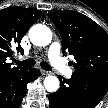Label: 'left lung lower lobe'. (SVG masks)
<instances>
[{"instance_id": "0a47b994", "label": "left lung lower lobe", "mask_w": 108, "mask_h": 108, "mask_svg": "<svg viewBox=\"0 0 108 108\" xmlns=\"http://www.w3.org/2000/svg\"><path fill=\"white\" fill-rule=\"evenodd\" d=\"M57 92L49 95L50 108H95L108 91V77L74 74L71 79L60 77Z\"/></svg>"}]
</instances>
